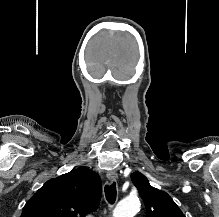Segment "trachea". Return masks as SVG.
I'll return each mask as SVG.
<instances>
[{"mask_svg": "<svg viewBox=\"0 0 219 217\" xmlns=\"http://www.w3.org/2000/svg\"><path fill=\"white\" fill-rule=\"evenodd\" d=\"M105 196L107 201L110 204H114L116 200L117 190H116V184L115 182L111 183L110 185H106L104 188Z\"/></svg>", "mask_w": 219, "mask_h": 217, "instance_id": "obj_1", "label": "trachea"}]
</instances>
